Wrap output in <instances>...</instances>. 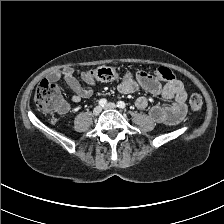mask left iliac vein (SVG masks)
Instances as JSON below:
<instances>
[{
	"mask_svg": "<svg viewBox=\"0 0 224 224\" xmlns=\"http://www.w3.org/2000/svg\"><path fill=\"white\" fill-rule=\"evenodd\" d=\"M116 108H117V105L112 102L104 106V109H116Z\"/></svg>",
	"mask_w": 224,
	"mask_h": 224,
	"instance_id": "obj_1",
	"label": "left iliac vein"
}]
</instances>
